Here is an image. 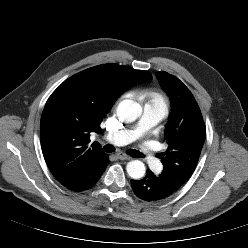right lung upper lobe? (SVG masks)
I'll list each match as a JSON object with an SVG mask.
<instances>
[{"label":"right lung upper lobe","instance_id":"right-lung-upper-lobe-1","mask_svg":"<svg viewBox=\"0 0 248 248\" xmlns=\"http://www.w3.org/2000/svg\"><path fill=\"white\" fill-rule=\"evenodd\" d=\"M150 78L146 71L104 64L73 75L53 92L41 116L40 140L45 161L62 185L76 179L88 162L105 155L98 143L88 145L90 133L102 132L103 117L125 90Z\"/></svg>","mask_w":248,"mask_h":248}]
</instances>
